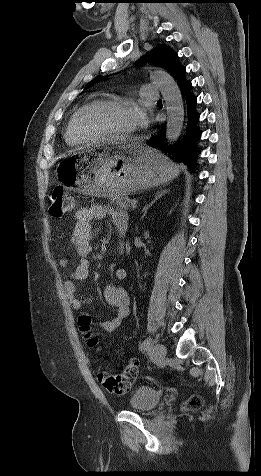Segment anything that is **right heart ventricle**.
<instances>
[{
    "instance_id": "right-heart-ventricle-1",
    "label": "right heart ventricle",
    "mask_w": 261,
    "mask_h": 476,
    "mask_svg": "<svg viewBox=\"0 0 261 476\" xmlns=\"http://www.w3.org/2000/svg\"><path fill=\"white\" fill-rule=\"evenodd\" d=\"M74 116H75V114L70 118V120L68 122L65 136H66V142L70 146H75L76 147V146H80V145L84 144V142L78 138V136L76 135V133L74 131V126H73Z\"/></svg>"
}]
</instances>
